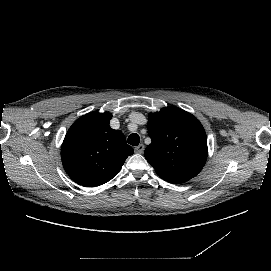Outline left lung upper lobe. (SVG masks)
Masks as SVG:
<instances>
[{"label": "left lung upper lobe", "mask_w": 271, "mask_h": 271, "mask_svg": "<svg viewBox=\"0 0 271 271\" xmlns=\"http://www.w3.org/2000/svg\"><path fill=\"white\" fill-rule=\"evenodd\" d=\"M147 129L152 142L145 158L158 175L191 179L202 170L208 155L207 137L195 116L178 107H165L149 114Z\"/></svg>", "instance_id": "5c2ea615"}]
</instances>
